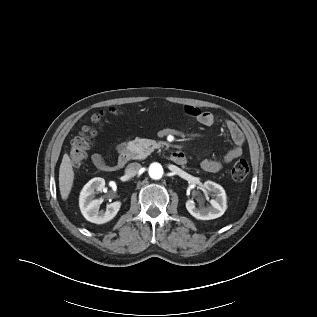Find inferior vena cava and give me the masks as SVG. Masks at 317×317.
<instances>
[{"label":"inferior vena cava","mask_w":317,"mask_h":317,"mask_svg":"<svg viewBox=\"0 0 317 317\" xmlns=\"http://www.w3.org/2000/svg\"><path fill=\"white\" fill-rule=\"evenodd\" d=\"M141 169V164L134 162L127 165L125 174L129 177H134Z\"/></svg>","instance_id":"inferior-vena-cava-1"}]
</instances>
